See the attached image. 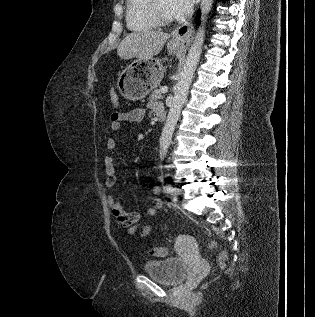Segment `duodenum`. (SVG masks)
<instances>
[{
  "label": "duodenum",
  "instance_id": "410a0bca",
  "mask_svg": "<svg viewBox=\"0 0 315 317\" xmlns=\"http://www.w3.org/2000/svg\"><path fill=\"white\" fill-rule=\"evenodd\" d=\"M157 115H158L160 120L164 121L166 119V111H165V109H160L157 112Z\"/></svg>",
  "mask_w": 315,
  "mask_h": 317
}]
</instances>
